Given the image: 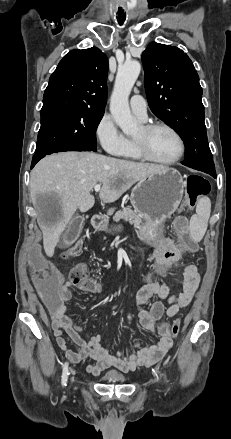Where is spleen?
<instances>
[{"label":"spleen","instance_id":"spleen-1","mask_svg":"<svg viewBox=\"0 0 231 439\" xmlns=\"http://www.w3.org/2000/svg\"><path fill=\"white\" fill-rule=\"evenodd\" d=\"M211 212V202L208 197L201 198L196 206V214L190 219V233L194 241L199 242L208 226Z\"/></svg>","mask_w":231,"mask_h":439}]
</instances>
